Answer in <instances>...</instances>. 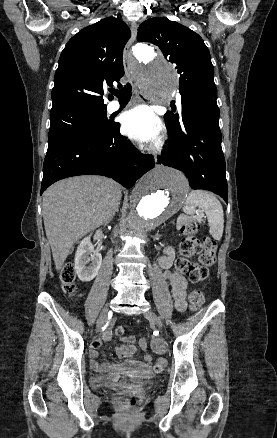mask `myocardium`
<instances>
[{
    "label": "myocardium",
    "mask_w": 277,
    "mask_h": 438,
    "mask_svg": "<svg viewBox=\"0 0 277 438\" xmlns=\"http://www.w3.org/2000/svg\"><path fill=\"white\" fill-rule=\"evenodd\" d=\"M130 50H133V46L130 48Z\"/></svg>",
    "instance_id": "myocardium-1"
}]
</instances>
